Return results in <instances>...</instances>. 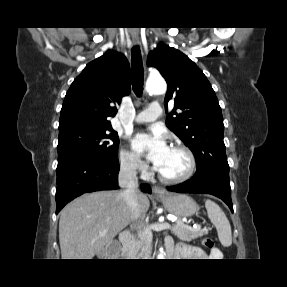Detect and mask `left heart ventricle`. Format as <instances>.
I'll return each instance as SVG.
<instances>
[{
  "label": "left heart ventricle",
  "mask_w": 287,
  "mask_h": 287,
  "mask_svg": "<svg viewBox=\"0 0 287 287\" xmlns=\"http://www.w3.org/2000/svg\"><path fill=\"white\" fill-rule=\"evenodd\" d=\"M188 165V158L184 152L169 148L158 170L166 176L177 177L187 171Z\"/></svg>",
  "instance_id": "left-heart-ventricle-1"
}]
</instances>
